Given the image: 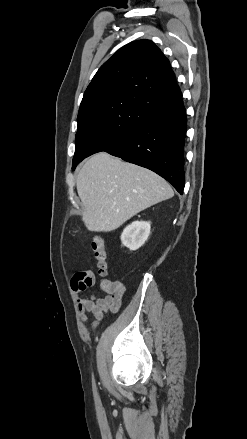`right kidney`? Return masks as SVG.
<instances>
[{"mask_svg":"<svg viewBox=\"0 0 247 439\" xmlns=\"http://www.w3.org/2000/svg\"><path fill=\"white\" fill-rule=\"evenodd\" d=\"M150 229V222H133L123 230L121 234L122 244L133 251L139 249L148 239Z\"/></svg>","mask_w":247,"mask_h":439,"instance_id":"right-kidney-1","label":"right kidney"}]
</instances>
